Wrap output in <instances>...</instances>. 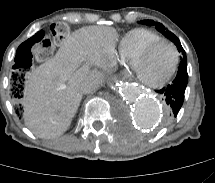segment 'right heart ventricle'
Instances as JSON below:
<instances>
[{
    "instance_id": "e07e8e85",
    "label": "right heart ventricle",
    "mask_w": 215,
    "mask_h": 183,
    "mask_svg": "<svg viewBox=\"0 0 215 183\" xmlns=\"http://www.w3.org/2000/svg\"><path fill=\"white\" fill-rule=\"evenodd\" d=\"M161 39V36L145 29H133L126 33L121 39L118 51L124 63L131 67L134 59L150 43Z\"/></svg>"
}]
</instances>
